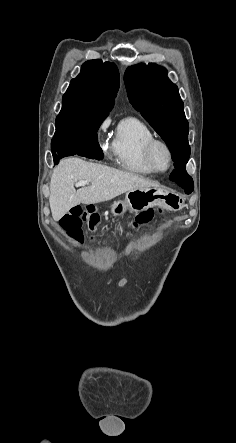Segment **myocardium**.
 I'll use <instances>...</instances> for the list:
<instances>
[{
    "mask_svg": "<svg viewBox=\"0 0 236 443\" xmlns=\"http://www.w3.org/2000/svg\"><path fill=\"white\" fill-rule=\"evenodd\" d=\"M157 146L163 147L168 154V166L166 169H163V170H161L157 167L155 160H154V150ZM144 156H145L146 163L151 168V170L155 173H165V172L169 171L173 165V151H172L170 145L166 141L158 139V138H153L146 143L145 148H144Z\"/></svg>",
    "mask_w": 236,
    "mask_h": 443,
    "instance_id": "obj_1",
    "label": "myocardium"
}]
</instances>
